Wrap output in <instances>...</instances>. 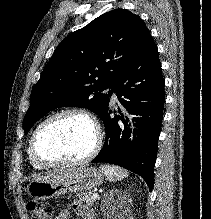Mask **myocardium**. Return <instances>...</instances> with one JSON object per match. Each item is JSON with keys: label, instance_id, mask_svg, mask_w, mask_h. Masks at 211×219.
<instances>
[{"label": "myocardium", "instance_id": "f54148a6", "mask_svg": "<svg viewBox=\"0 0 211 219\" xmlns=\"http://www.w3.org/2000/svg\"><path fill=\"white\" fill-rule=\"evenodd\" d=\"M63 116H77V117H80L86 120L93 129L94 144L91 150L84 157L80 159L72 160V161L46 160L37 152V149H36V144H37L39 135L42 132V130L45 128V126H47L50 122ZM101 145H102L101 128H100L98 121L92 114L84 110H81V109H64V110L58 111L50 115L36 127L30 139L28 148H29L30 155L38 164L46 168H66V167H77V166H82V165L87 164L88 162L93 160L98 155L101 149Z\"/></svg>", "mask_w": 211, "mask_h": 219}]
</instances>
